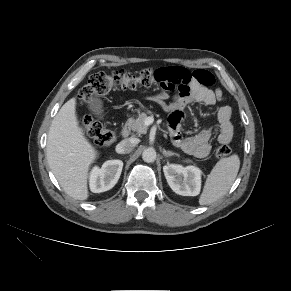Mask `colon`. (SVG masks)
Instances as JSON below:
<instances>
[{"label": "colon", "instance_id": "colon-1", "mask_svg": "<svg viewBox=\"0 0 291 291\" xmlns=\"http://www.w3.org/2000/svg\"><path fill=\"white\" fill-rule=\"evenodd\" d=\"M201 81H206L208 75L204 72L197 73ZM155 83L160 85L166 83L169 89L180 87L176 81L163 78L159 70L151 68L143 69L137 73L118 70L112 73H94L85 84L78 95L81 102H89L95 96H103L113 90L134 89L137 86H151ZM80 127L93 142L99 146H107L114 140V134L106 129L100 122L91 116H84L80 120ZM231 154V148L227 144H221L215 149L218 158H225Z\"/></svg>", "mask_w": 291, "mask_h": 291}]
</instances>
